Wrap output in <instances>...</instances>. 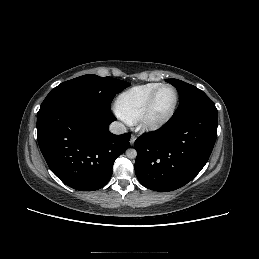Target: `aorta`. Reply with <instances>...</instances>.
Here are the masks:
<instances>
[{
  "label": "aorta",
  "mask_w": 259,
  "mask_h": 259,
  "mask_svg": "<svg viewBox=\"0 0 259 259\" xmlns=\"http://www.w3.org/2000/svg\"><path fill=\"white\" fill-rule=\"evenodd\" d=\"M126 156H127L128 158H130V159H133V158H135V157L137 156V152H136L135 149H128V150L126 151Z\"/></svg>",
  "instance_id": "1"
}]
</instances>
